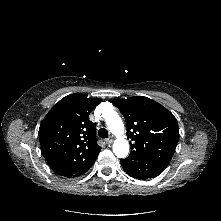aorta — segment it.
Listing matches in <instances>:
<instances>
[{
	"label": "aorta",
	"instance_id": "aorta-1",
	"mask_svg": "<svg viewBox=\"0 0 221 221\" xmlns=\"http://www.w3.org/2000/svg\"><path fill=\"white\" fill-rule=\"evenodd\" d=\"M106 124L112 134L116 136L113 152L118 158H125L129 153V143L124 137V124L120 116L111 113L106 117Z\"/></svg>",
	"mask_w": 221,
	"mask_h": 221
}]
</instances>
